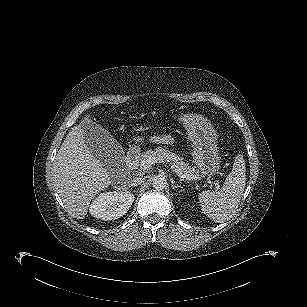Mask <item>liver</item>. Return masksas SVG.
I'll list each match as a JSON object with an SVG mask.
<instances>
[{
	"instance_id": "liver-1",
	"label": "liver",
	"mask_w": 307,
	"mask_h": 307,
	"mask_svg": "<svg viewBox=\"0 0 307 307\" xmlns=\"http://www.w3.org/2000/svg\"><path fill=\"white\" fill-rule=\"evenodd\" d=\"M90 115L74 126L62 143L53 167V181L68 212L84 219L90 201L110 184V172L86 145Z\"/></svg>"
}]
</instances>
